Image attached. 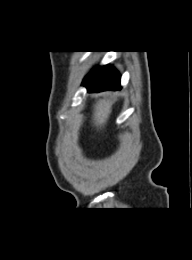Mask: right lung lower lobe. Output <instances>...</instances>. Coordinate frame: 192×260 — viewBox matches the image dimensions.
<instances>
[{
	"label": "right lung lower lobe",
	"mask_w": 192,
	"mask_h": 260,
	"mask_svg": "<svg viewBox=\"0 0 192 260\" xmlns=\"http://www.w3.org/2000/svg\"><path fill=\"white\" fill-rule=\"evenodd\" d=\"M82 85L87 86L89 92L121 89L120 75L113 67L106 65L95 68L90 75L83 80Z\"/></svg>",
	"instance_id": "right-lung-lower-lobe-1"
}]
</instances>
